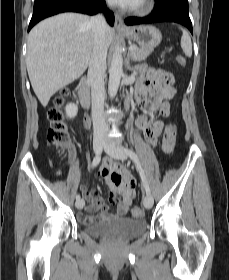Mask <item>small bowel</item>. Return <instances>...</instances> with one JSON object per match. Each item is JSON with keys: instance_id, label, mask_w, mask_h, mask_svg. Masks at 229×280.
Wrapping results in <instances>:
<instances>
[{"instance_id": "c3829d8e", "label": "small bowel", "mask_w": 229, "mask_h": 280, "mask_svg": "<svg viewBox=\"0 0 229 280\" xmlns=\"http://www.w3.org/2000/svg\"><path fill=\"white\" fill-rule=\"evenodd\" d=\"M175 93L174 87L164 86L151 72L140 67V73L136 82L135 98L137 104L146 115L150 116L158 113L161 117H167L170 113L168 100ZM135 125L148 142L152 145L156 144L157 137L163 128L161 120L150 121L146 117H140ZM115 172H119L124 177L119 185H115L111 179L112 174ZM99 175L105 179L110 192L114 194L112 204L117 205V208L115 213H111L108 206L96 196L90 187L87 184H83L81 192L86 200V204L83 207V211L78 213V218L83 223L90 220H110L111 218L124 217L132 204L136 181L131 172L126 170L123 162L108 158L100 167ZM96 212H101V215L94 216L93 214Z\"/></svg>"}]
</instances>
